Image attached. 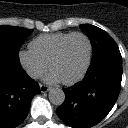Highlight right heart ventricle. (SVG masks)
<instances>
[{"instance_id": "e07e8e85", "label": "right heart ventricle", "mask_w": 128, "mask_h": 128, "mask_svg": "<svg viewBox=\"0 0 128 128\" xmlns=\"http://www.w3.org/2000/svg\"><path fill=\"white\" fill-rule=\"evenodd\" d=\"M71 33L57 32L40 35L31 41L30 49L46 64H49L60 43Z\"/></svg>"}]
</instances>
